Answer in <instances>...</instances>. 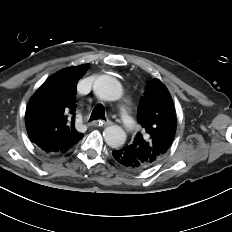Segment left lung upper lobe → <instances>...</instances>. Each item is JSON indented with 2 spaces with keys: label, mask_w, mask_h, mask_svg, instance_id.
Segmentation results:
<instances>
[{
  "label": "left lung upper lobe",
  "mask_w": 232,
  "mask_h": 232,
  "mask_svg": "<svg viewBox=\"0 0 232 232\" xmlns=\"http://www.w3.org/2000/svg\"><path fill=\"white\" fill-rule=\"evenodd\" d=\"M138 122L142 130L127 147L141 163V169H147L166 155L177 127L173 100L158 79H152L146 87L138 109Z\"/></svg>",
  "instance_id": "1"
}]
</instances>
